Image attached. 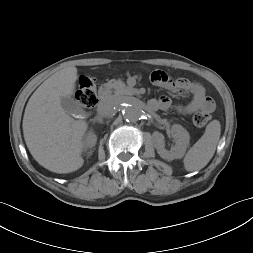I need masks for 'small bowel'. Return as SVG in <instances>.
<instances>
[{"mask_svg":"<svg viewBox=\"0 0 253 253\" xmlns=\"http://www.w3.org/2000/svg\"><path fill=\"white\" fill-rule=\"evenodd\" d=\"M152 81L161 88L180 94L192 95V100L188 104L177 106V111L183 115H190L196 112L210 113L215 108L213 99L206 95L205 88L200 83L185 78L172 80L163 71H155L152 74ZM171 104L172 101L168 96H162L159 99H151L148 105L152 110H168Z\"/></svg>","mask_w":253,"mask_h":253,"instance_id":"1","label":"small bowel"}]
</instances>
